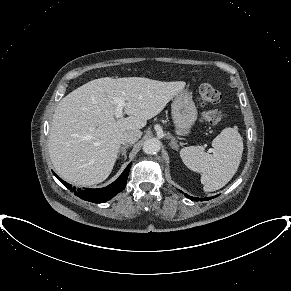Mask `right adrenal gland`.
Wrapping results in <instances>:
<instances>
[{
	"label": "right adrenal gland",
	"mask_w": 291,
	"mask_h": 291,
	"mask_svg": "<svg viewBox=\"0 0 291 291\" xmlns=\"http://www.w3.org/2000/svg\"><path fill=\"white\" fill-rule=\"evenodd\" d=\"M131 145H129V144H126V145H124V146H122L121 148H120V151H119V154H118V157L122 154L123 156H124V159H126V150H127V148H129Z\"/></svg>",
	"instance_id": "2a0ac1e0"
}]
</instances>
